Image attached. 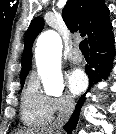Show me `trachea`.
<instances>
[{
	"mask_svg": "<svg viewBox=\"0 0 116 134\" xmlns=\"http://www.w3.org/2000/svg\"><path fill=\"white\" fill-rule=\"evenodd\" d=\"M79 49L81 50L83 55H89V47L87 39L81 41V43L79 44Z\"/></svg>",
	"mask_w": 116,
	"mask_h": 134,
	"instance_id": "trachea-1",
	"label": "trachea"
}]
</instances>
